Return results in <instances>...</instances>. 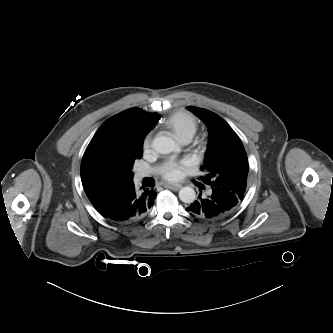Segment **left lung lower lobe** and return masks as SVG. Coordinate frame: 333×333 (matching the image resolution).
<instances>
[{"label":"left lung lower lobe","instance_id":"left-lung-lower-lobe-1","mask_svg":"<svg viewBox=\"0 0 333 333\" xmlns=\"http://www.w3.org/2000/svg\"><path fill=\"white\" fill-rule=\"evenodd\" d=\"M234 193L222 187H210L207 197L194 201L186 210L203 220L215 221L231 213L239 204Z\"/></svg>","mask_w":333,"mask_h":333}]
</instances>
